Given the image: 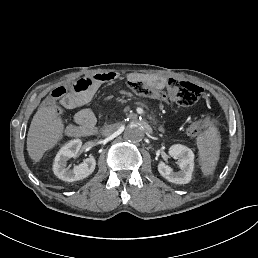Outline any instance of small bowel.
Segmentation results:
<instances>
[{"label":"small bowel","mask_w":258,"mask_h":258,"mask_svg":"<svg viewBox=\"0 0 258 258\" xmlns=\"http://www.w3.org/2000/svg\"><path fill=\"white\" fill-rule=\"evenodd\" d=\"M71 92L61 99V105L65 109H75L88 103L98 89V85L92 83L89 77L81 78L74 83ZM75 123L86 134H92L96 129V117L90 109L78 111L74 117Z\"/></svg>","instance_id":"c3829d8e"}]
</instances>
